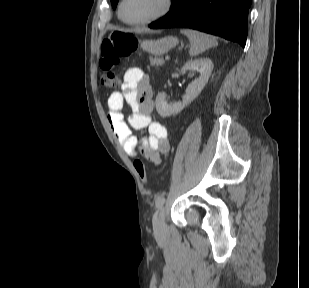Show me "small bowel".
Listing matches in <instances>:
<instances>
[{
	"label": "small bowel",
	"mask_w": 309,
	"mask_h": 288,
	"mask_svg": "<svg viewBox=\"0 0 309 288\" xmlns=\"http://www.w3.org/2000/svg\"><path fill=\"white\" fill-rule=\"evenodd\" d=\"M125 104L132 111L128 122L123 115ZM154 106L149 79L137 67L125 71L120 91L113 92L107 102L109 125L125 153L130 157L143 154L157 164L160 155L169 152L170 143L166 127L151 118ZM131 129L141 131L143 137L138 139Z\"/></svg>",
	"instance_id": "small-bowel-1"
}]
</instances>
